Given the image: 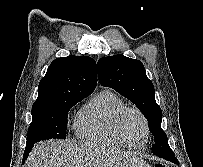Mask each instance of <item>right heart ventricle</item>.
I'll list each match as a JSON object with an SVG mask.
<instances>
[{
	"mask_svg": "<svg viewBox=\"0 0 203 167\" xmlns=\"http://www.w3.org/2000/svg\"><path fill=\"white\" fill-rule=\"evenodd\" d=\"M125 102L112 90L105 89L95 95L78 113L75 132L83 141L130 147L118 137L113 120Z\"/></svg>",
	"mask_w": 203,
	"mask_h": 167,
	"instance_id": "obj_1",
	"label": "right heart ventricle"
}]
</instances>
